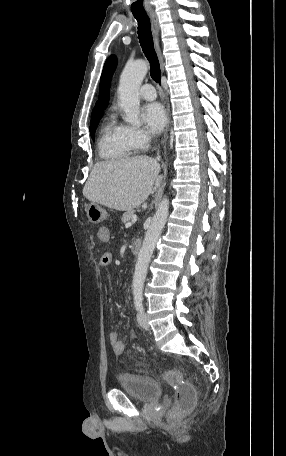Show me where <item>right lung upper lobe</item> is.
Wrapping results in <instances>:
<instances>
[{
  "mask_svg": "<svg viewBox=\"0 0 286 456\" xmlns=\"http://www.w3.org/2000/svg\"><path fill=\"white\" fill-rule=\"evenodd\" d=\"M117 58L115 55L110 56L104 66L101 79H100V91L98 101L92 111L91 121L102 116L103 111L109 104L110 96V81L112 74L116 68Z\"/></svg>",
  "mask_w": 286,
  "mask_h": 456,
  "instance_id": "obj_1",
  "label": "right lung upper lobe"
}]
</instances>
